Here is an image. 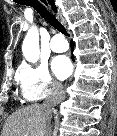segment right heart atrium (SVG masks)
I'll use <instances>...</instances> for the list:
<instances>
[{
	"mask_svg": "<svg viewBox=\"0 0 117 136\" xmlns=\"http://www.w3.org/2000/svg\"><path fill=\"white\" fill-rule=\"evenodd\" d=\"M17 81L27 102L58 97L63 92L61 83L52 77L45 63L22 65L17 72Z\"/></svg>",
	"mask_w": 117,
	"mask_h": 136,
	"instance_id": "obj_1",
	"label": "right heart atrium"
}]
</instances>
